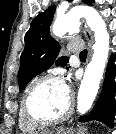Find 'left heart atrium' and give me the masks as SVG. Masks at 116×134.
Listing matches in <instances>:
<instances>
[{
	"mask_svg": "<svg viewBox=\"0 0 116 134\" xmlns=\"http://www.w3.org/2000/svg\"><path fill=\"white\" fill-rule=\"evenodd\" d=\"M62 85H63L64 91L66 92V94L70 96V86H69V84L66 83V82H62Z\"/></svg>",
	"mask_w": 116,
	"mask_h": 134,
	"instance_id": "1",
	"label": "left heart atrium"
}]
</instances>
